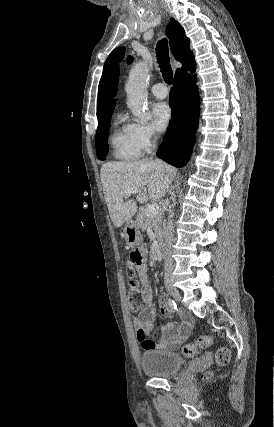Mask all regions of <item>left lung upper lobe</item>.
<instances>
[{"label":"left lung upper lobe","instance_id":"obj_1","mask_svg":"<svg viewBox=\"0 0 274 427\" xmlns=\"http://www.w3.org/2000/svg\"><path fill=\"white\" fill-rule=\"evenodd\" d=\"M117 80H118V74H116L113 78L112 81V86H111V95H115L116 91H117Z\"/></svg>","mask_w":274,"mask_h":427}]
</instances>
